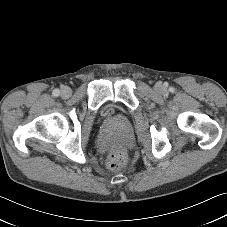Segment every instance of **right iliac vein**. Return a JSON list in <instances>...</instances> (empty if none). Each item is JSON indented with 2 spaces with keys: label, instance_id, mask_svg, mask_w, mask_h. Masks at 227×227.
<instances>
[{
  "label": "right iliac vein",
  "instance_id": "right-iliac-vein-1",
  "mask_svg": "<svg viewBox=\"0 0 227 227\" xmlns=\"http://www.w3.org/2000/svg\"><path fill=\"white\" fill-rule=\"evenodd\" d=\"M71 94V90L69 87H64L61 91V96L64 97V98H67L69 97Z\"/></svg>",
  "mask_w": 227,
  "mask_h": 227
}]
</instances>
